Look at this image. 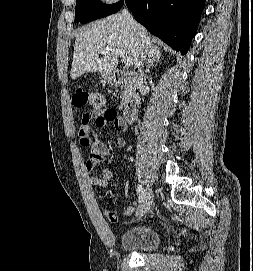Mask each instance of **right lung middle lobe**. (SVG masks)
Instances as JSON below:
<instances>
[{"label": "right lung middle lobe", "mask_w": 253, "mask_h": 271, "mask_svg": "<svg viewBox=\"0 0 253 271\" xmlns=\"http://www.w3.org/2000/svg\"><path fill=\"white\" fill-rule=\"evenodd\" d=\"M123 4L124 0L111 5L103 4L100 0H76V22L87 23L114 14L121 9Z\"/></svg>", "instance_id": "right-lung-middle-lobe-1"}]
</instances>
